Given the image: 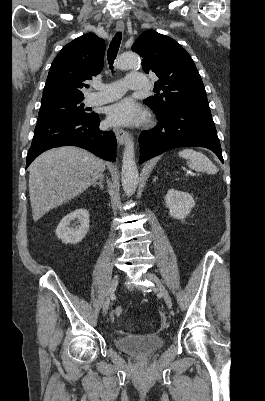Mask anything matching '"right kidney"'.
<instances>
[{"label":"right kidney","mask_w":265,"mask_h":401,"mask_svg":"<svg viewBox=\"0 0 265 401\" xmlns=\"http://www.w3.org/2000/svg\"><path fill=\"white\" fill-rule=\"evenodd\" d=\"M78 219L80 225L78 229H70L71 221ZM89 231V213L87 209H76L70 215H66L61 219L57 229L56 235L61 239L62 243H80Z\"/></svg>","instance_id":"right-kidney-1"}]
</instances>
